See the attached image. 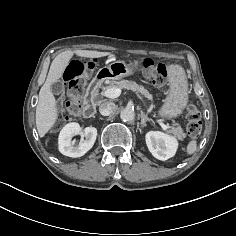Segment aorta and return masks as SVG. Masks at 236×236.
I'll return each mask as SVG.
<instances>
[{
	"label": "aorta",
	"mask_w": 236,
	"mask_h": 236,
	"mask_svg": "<svg viewBox=\"0 0 236 236\" xmlns=\"http://www.w3.org/2000/svg\"><path fill=\"white\" fill-rule=\"evenodd\" d=\"M120 118L124 122H130V121L134 120V118H135L134 110L131 108L123 109L120 113Z\"/></svg>",
	"instance_id": "762f6f07"
}]
</instances>
